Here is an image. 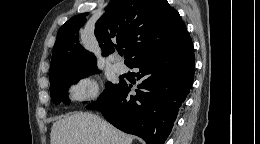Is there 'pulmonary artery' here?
I'll return each mask as SVG.
<instances>
[{"label": "pulmonary artery", "mask_w": 260, "mask_h": 144, "mask_svg": "<svg viewBox=\"0 0 260 144\" xmlns=\"http://www.w3.org/2000/svg\"><path fill=\"white\" fill-rule=\"evenodd\" d=\"M113 69L117 72V73H122L125 71V66L122 63L119 62H115L113 64Z\"/></svg>", "instance_id": "e3ab8cb5"}]
</instances>
